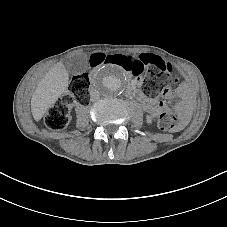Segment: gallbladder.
I'll use <instances>...</instances> for the list:
<instances>
[{"label":"gallbladder","instance_id":"gallbladder-1","mask_svg":"<svg viewBox=\"0 0 227 227\" xmlns=\"http://www.w3.org/2000/svg\"><path fill=\"white\" fill-rule=\"evenodd\" d=\"M70 72L73 75H79L89 70L88 56L85 53L74 55L69 60Z\"/></svg>","mask_w":227,"mask_h":227}]
</instances>
